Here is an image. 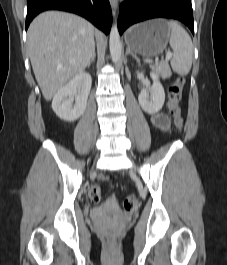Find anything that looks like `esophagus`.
Here are the masks:
<instances>
[{
  "instance_id": "34e87169",
  "label": "esophagus",
  "mask_w": 227,
  "mask_h": 265,
  "mask_svg": "<svg viewBox=\"0 0 227 265\" xmlns=\"http://www.w3.org/2000/svg\"><path fill=\"white\" fill-rule=\"evenodd\" d=\"M110 5L112 7V11L115 14L117 12L118 9V0H109Z\"/></svg>"
}]
</instances>
